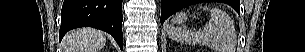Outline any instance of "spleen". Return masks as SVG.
Masks as SVG:
<instances>
[{
	"label": "spleen",
	"mask_w": 305,
	"mask_h": 52,
	"mask_svg": "<svg viewBox=\"0 0 305 52\" xmlns=\"http://www.w3.org/2000/svg\"><path fill=\"white\" fill-rule=\"evenodd\" d=\"M202 8V7H200ZM209 10L211 18L203 27V31H192L187 28L168 26V36L179 43L209 47L216 52H231V38L234 36V27L226 12L217 8L203 7Z\"/></svg>",
	"instance_id": "3e777b00"
}]
</instances>
